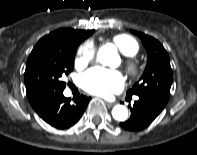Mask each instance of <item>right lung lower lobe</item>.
Segmentation results:
<instances>
[{
    "label": "right lung lower lobe",
    "mask_w": 197,
    "mask_h": 155,
    "mask_svg": "<svg viewBox=\"0 0 197 155\" xmlns=\"http://www.w3.org/2000/svg\"><path fill=\"white\" fill-rule=\"evenodd\" d=\"M90 97L81 95L71 101L63 93L45 103L37 114L53 127L65 129L74 125L86 109Z\"/></svg>",
    "instance_id": "right-lung-lower-lobe-1"
}]
</instances>
